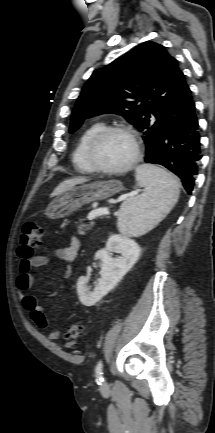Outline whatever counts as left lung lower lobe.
I'll return each instance as SVG.
<instances>
[{"label":"left lung lower lobe","instance_id":"obj_1","mask_svg":"<svg viewBox=\"0 0 215 433\" xmlns=\"http://www.w3.org/2000/svg\"><path fill=\"white\" fill-rule=\"evenodd\" d=\"M200 135L195 104L184 81L165 113L164 126L155 143L154 152L145 162L159 164L176 174L188 194L195 185L201 159Z\"/></svg>","mask_w":215,"mask_h":433}]
</instances>
